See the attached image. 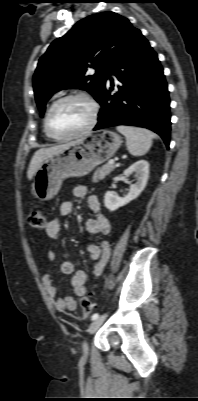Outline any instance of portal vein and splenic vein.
Returning a JSON list of instances; mask_svg holds the SVG:
<instances>
[{
    "instance_id": "portal-vein-and-splenic-vein-1",
    "label": "portal vein and splenic vein",
    "mask_w": 198,
    "mask_h": 401,
    "mask_svg": "<svg viewBox=\"0 0 198 401\" xmlns=\"http://www.w3.org/2000/svg\"><path fill=\"white\" fill-rule=\"evenodd\" d=\"M114 162H115L114 160H110L109 161L110 164H114Z\"/></svg>"
}]
</instances>
